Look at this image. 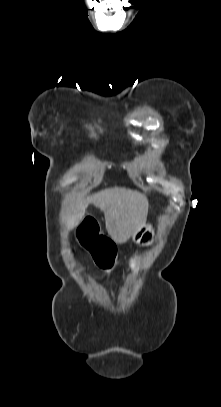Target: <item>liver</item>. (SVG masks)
I'll list each match as a JSON object with an SVG mask.
<instances>
[{"label":"liver","mask_w":221,"mask_h":407,"mask_svg":"<svg viewBox=\"0 0 221 407\" xmlns=\"http://www.w3.org/2000/svg\"><path fill=\"white\" fill-rule=\"evenodd\" d=\"M90 203L104 212L106 230L117 244L127 242L146 223L148 200L137 191L115 187L88 196L76 204L68 221L71 227L80 223Z\"/></svg>","instance_id":"6515ba94"}]
</instances>
